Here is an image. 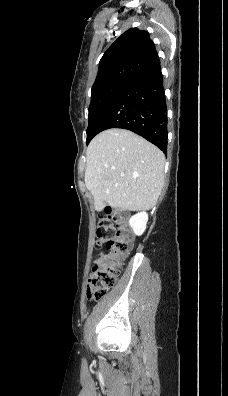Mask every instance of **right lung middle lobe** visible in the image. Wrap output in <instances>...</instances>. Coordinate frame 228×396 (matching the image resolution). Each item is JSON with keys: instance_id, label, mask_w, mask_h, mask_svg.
<instances>
[{"instance_id": "right-lung-middle-lobe-1", "label": "right lung middle lobe", "mask_w": 228, "mask_h": 396, "mask_svg": "<svg viewBox=\"0 0 228 396\" xmlns=\"http://www.w3.org/2000/svg\"><path fill=\"white\" fill-rule=\"evenodd\" d=\"M128 86V83L114 82L92 89L89 106V125L87 128V144L96 135V124L117 96Z\"/></svg>"}]
</instances>
